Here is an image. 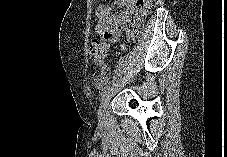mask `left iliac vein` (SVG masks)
Listing matches in <instances>:
<instances>
[{"mask_svg":"<svg viewBox=\"0 0 227 157\" xmlns=\"http://www.w3.org/2000/svg\"><path fill=\"white\" fill-rule=\"evenodd\" d=\"M109 100H110V95L109 93H107L102 99L98 110V120L100 123H103L106 119Z\"/></svg>","mask_w":227,"mask_h":157,"instance_id":"4c4485c4","label":"left iliac vein"}]
</instances>
